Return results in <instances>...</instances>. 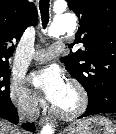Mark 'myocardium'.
I'll return each mask as SVG.
<instances>
[{"mask_svg":"<svg viewBox=\"0 0 116 134\" xmlns=\"http://www.w3.org/2000/svg\"><path fill=\"white\" fill-rule=\"evenodd\" d=\"M68 88L73 92L76 98L75 106L70 110H64L58 106H53L52 111L58 117L65 120H73L81 116L88 106V95L86 90L78 82H70Z\"/></svg>","mask_w":116,"mask_h":134,"instance_id":"obj_1","label":"myocardium"}]
</instances>
